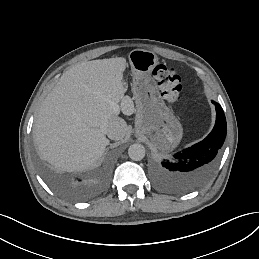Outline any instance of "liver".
I'll list each match as a JSON object with an SVG mask.
<instances>
[{"mask_svg": "<svg viewBox=\"0 0 259 259\" xmlns=\"http://www.w3.org/2000/svg\"><path fill=\"white\" fill-rule=\"evenodd\" d=\"M124 58L94 60L76 65L61 76L43 101L33 124V138L42 159L61 170L92 165L105 151L109 140L100 126L122 110ZM121 102V105L119 104Z\"/></svg>", "mask_w": 259, "mask_h": 259, "instance_id": "6515ba94", "label": "liver"}]
</instances>
